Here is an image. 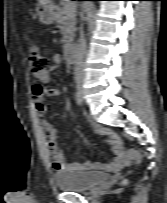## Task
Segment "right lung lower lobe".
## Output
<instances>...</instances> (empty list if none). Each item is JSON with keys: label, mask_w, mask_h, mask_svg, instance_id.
Masks as SVG:
<instances>
[{"label": "right lung lower lobe", "mask_w": 167, "mask_h": 203, "mask_svg": "<svg viewBox=\"0 0 167 203\" xmlns=\"http://www.w3.org/2000/svg\"><path fill=\"white\" fill-rule=\"evenodd\" d=\"M81 1H85V0H81ZM88 1H98V0H88Z\"/></svg>", "instance_id": "obj_1"}]
</instances>
